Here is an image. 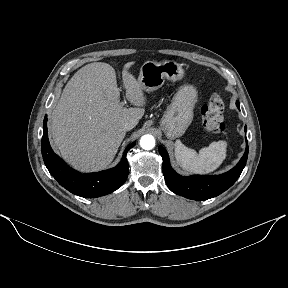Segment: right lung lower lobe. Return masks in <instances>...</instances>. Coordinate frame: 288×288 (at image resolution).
<instances>
[{
    "mask_svg": "<svg viewBox=\"0 0 288 288\" xmlns=\"http://www.w3.org/2000/svg\"><path fill=\"white\" fill-rule=\"evenodd\" d=\"M135 145L130 144L124 151L118 166L97 173H80L70 168L50 147L47 135V116L43 123L41 151L44 163L57 182L71 193L84 197L95 198L117 190L126 181L129 165L127 152Z\"/></svg>",
    "mask_w": 288,
    "mask_h": 288,
    "instance_id": "right-lung-lower-lobe-1",
    "label": "right lung lower lobe"
}]
</instances>
